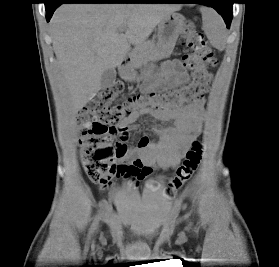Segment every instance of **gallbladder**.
<instances>
[{"label":"gallbladder","instance_id":"bac80fb5","mask_svg":"<svg viewBox=\"0 0 279 267\" xmlns=\"http://www.w3.org/2000/svg\"><path fill=\"white\" fill-rule=\"evenodd\" d=\"M116 80V72L114 69H106L101 76V88L107 89L114 86Z\"/></svg>","mask_w":279,"mask_h":267}]
</instances>
